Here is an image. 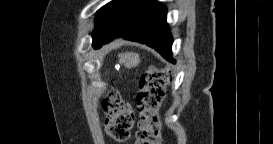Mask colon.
Returning a JSON list of instances; mask_svg holds the SVG:
<instances>
[{
	"label": "colon",
	"instance_id": "colon-1",
	"mask_svg": "<svg viewBox=\"0 0 273 144\" xmlns=\"http://www.w3.org/2000/svg\"><path fill=\"white\" fill-rule=\"evenodd\" d=\"M168 77L167 72L152 69L146 72L141 80L137 93L141 111L138 144H159L162 141L156 110L164 97ZM103 109L106 114L107 134L115 141H126L134 121L130 105L112 93L103 101Z\"/></svg>",
	"mask_w": 273,
	"mask_h": 144
}]
</instances>
